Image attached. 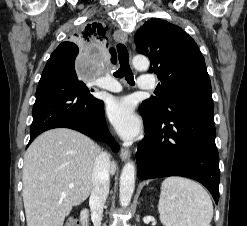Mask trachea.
<instances>
[{
	"mask_svg": "<svg viewBox=\"0 0 247 226\" xmlns=\"http://www.w3.org/2000/svg\"><path fill=\"white\" fill-rule=\"evenodd\" d=\"M118 59L120 63V68L114 72V76L117 78L125 77L126 81L130 85H134V76L129 65V53L125 45L119 43L117 45Z\"/></svg>",
	"mask_w": 247,
	"mask_h": 226,
	"instance_id": "3493384b",
	"label": "trachea"
}]
</instances>
